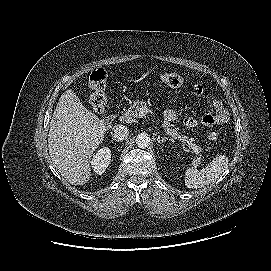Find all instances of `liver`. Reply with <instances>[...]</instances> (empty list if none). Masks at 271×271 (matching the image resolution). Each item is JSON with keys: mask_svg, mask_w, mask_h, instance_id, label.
Listing matches in <instances>:
<instances>
[{"mask_svg": "<svg viewBox=\"0 0 271 271\" xmlns=\"http://www.w3.org/2000/svg\"><path fill=\"white\" fill-rule=\"evenodd\" d=\"M105 132L102 121L72 89L61 95L50 122L48 148L53 165L70 184L89 181L91 158Z\"/></svg>", "mask_w": 271, "mask_h": 271, "instance_id": "liver-1", "label": "liver"}]
</instances>
